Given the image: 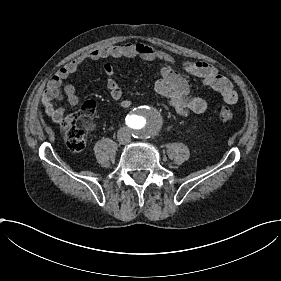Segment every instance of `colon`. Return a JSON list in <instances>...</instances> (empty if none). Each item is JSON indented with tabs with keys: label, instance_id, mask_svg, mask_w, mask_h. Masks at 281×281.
Segmentation results:
<instances>
[{
	"label": "colon",
	"instance_id": "5ec220e1",
	"mask_svg": "<svg viewBox=\"0 0 281 281\" xmlns=\"http://www.w3.org/2000/svg\"><path fill=\"white\" fill-rule=\"evenodd\" d=\"M218 119L223 123L234 120L233 111L227 106H221L218 110ZM64 133L68 139L71 150L80 152L85 146V128L76 118L69 117L63 124Z\"/></svg>",
	"mask_w": 281,
	"mask_h": 281
}]
</instances>
